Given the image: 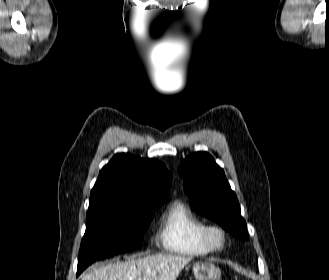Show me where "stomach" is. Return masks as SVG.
<instances>
[{"label":"stomach","mask_w":329,"mask_h":280,"mask_svg":"<svg viewBox=\"0 0 329 280\" xmlns=\"http://www.w3.org/2000/svg\"><path fill=\"white\" fill-rule=\"evenodd\" d=\"M196 280H220L221 271L212 262H197L192 267Z\"/></svg>","instance_id":"0dacf381"}]
</instances>
